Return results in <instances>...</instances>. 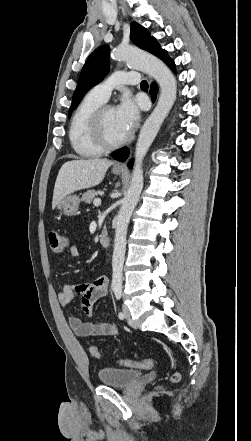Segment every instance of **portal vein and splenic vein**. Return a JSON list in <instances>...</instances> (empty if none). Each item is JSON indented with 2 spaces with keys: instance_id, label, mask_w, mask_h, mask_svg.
<instances>
[{
  "instance_id": "obj_1",
  "label": "portal vein and splenic vein",
  "mask_w": 251,
  "mask_h": 441,
  "mask_svg": "<svg viewBox=\"0 0 251 441\" xmlns=\"http://www.w3.org/2000/svg\"><path fill=\"white\" fill-rule=\"evenodd\" d=\"M93 204H94V206H100L101 205V199H99V198L94 199Z\"/></svg>"
}]
</instances>
